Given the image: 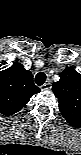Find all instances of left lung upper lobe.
Instances as JSON below:
<instances>
[{
    "label": "left lung upper lobe",
    "mask_w": 81,
    "mask_h": 155,
    "mask_svg": "<svg viewBox=\"0 0 81 155\" xmlns=\"http://www.w3.org/2000/svg\"><path fill=\"white\" fill-rule=\"evenodd\" d=\"M60 80L52 89L58 98L59 109L67 122L74 127L81 126V74L68 67L60 74Z\"/></svg>",
    "instance_id": "1"
}]
</instances>
